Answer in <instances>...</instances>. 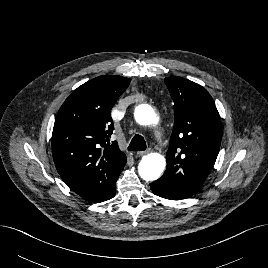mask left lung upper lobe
<instances>
[{"instance_id":"5c2ea615","label":"left lung upper lobe","mask_w":268,"mask_h":268,"mask_svg":"<svg viewBox=\"0 0 268 268\" xmlns=\"http://www.w3.org/2000/svg\"><path fill=\"white\" fill-rule=\"evenodd\" d=\"M174 101L175 122L166 154L167 168L156 184L179 194L194 195L216 161L222 137L215 103L201 85L167 77Z\"/></svg>"}]
</instances>
